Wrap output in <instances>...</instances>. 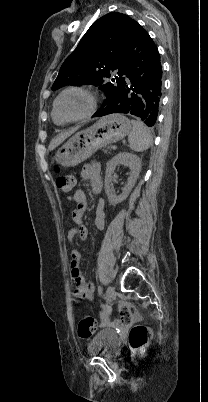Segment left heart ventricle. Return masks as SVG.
I'll return each mask as SVG.
<instances>
[{"label":"left heart ventricle","mask_w":208,"mask_h":402,"mask_svg":"<svg viewBox=\"0 0 208 402\" xmlns=\"http://www.w3.org/2000/svg\"><path fill=\"white\" fill-rule=\"evenodd\" d=\"M91 105V96L79 91H70L59 99L58 110L67 118H76L88 112Z\"/></svg>","instance_id":"1"}]
</instances>
